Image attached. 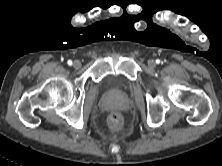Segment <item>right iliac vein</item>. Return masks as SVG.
<instances>
[{"mask_svg":"<svg viewBox=\"0 0 222 166\" xmlns=\"http://www.w3.org/2000/svg\"><path fill=\"white\" fill-rule=\"evenodd\" d=\"M73 66H74V68L78 69L81 67V62L79 60H75L73 62Z\"/></svg>","mask_w":222,"mask_h":166,"instance_id":"63e3f726","label":"right iliac vein"}]
</instances>
